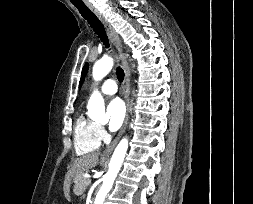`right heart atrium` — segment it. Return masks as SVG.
Masks as SVG:
<instances>
[{
	"mask_svg": "<svg viewBox=\"0 0 253 204\" xmlns=\"http://www.w3.org/2000/svg\"><path fill=\"white\" fill-rule=\"evenodd\" d=\"M97 135L100 140H104L106 138V131L101 125H97Z\"/></svg>",
	"mask_w": 253,
	"mask_h": 204,
	"instance_id": "obj_1",
	"label": "right heart atrium"
}]
</instances>
